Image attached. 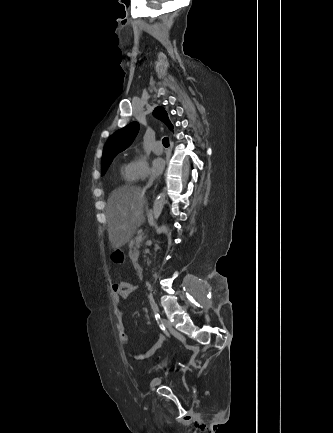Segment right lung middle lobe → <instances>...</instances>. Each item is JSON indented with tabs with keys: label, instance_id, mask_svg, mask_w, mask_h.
I'll return each mask as SVG.
<instances>
[{
	"label": "right lung middle lobe",
	"instance_id": "dd1d6c3e",
	"mask_svg": "<svg viewBox=\"0 0 333 433\" xmlns=\"http://www.w3.org/2000/svg\"><path fill=\"white\" fill-rule=\"evenodd\" d=\"M113 158H110L109 160H107L106 162L102 163V175L105 174V172L107 171L109 165L111 164Z\"/></svg>",
	"mask_w": 333,
	"mask_h": 433
}]
</instances>
